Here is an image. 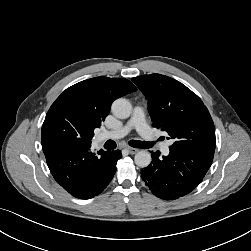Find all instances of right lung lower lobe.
<instances>
[{
	"label": "right lung lower lobe",
	"instance_id": "right-lung-lower-lobe-1",
	"mask_svg": "<svg viewBox=\"0 0 251 251\" xmlns=\"http://www.w3.org/2000/svg\"><path fill=\"white\" fill-rule=\"evenodd\" d=\"M90 145H42L54 179L72 196L89 199L100 194L116 172L121 151H90Z\"/></svg>",
	"mask_w": 251,
	"mask_h": 251
}]
</instances>
